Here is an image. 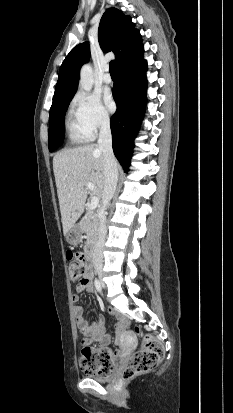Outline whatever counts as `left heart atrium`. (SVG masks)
<instances>
[{
    "mask_svg": "<svg viewBox=\"0 0 233 413\" xmlns=\"http://www.w3.org/2000/svg\"><path fill=\"white\" fill-rule=\"evenodd\" d=\"M104 101H105V104H106L107 108L110 111H113L115 109V106H116L115 101H114V98H113V96L110 92H105Z\"/></svg>",
    "mask_w": 233,
    "mask_h": 413,
    "instance_id": "left-heart-atrium-1",
    "label": "left heart atrium"
}]
</instances>
